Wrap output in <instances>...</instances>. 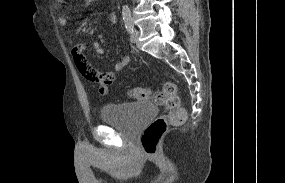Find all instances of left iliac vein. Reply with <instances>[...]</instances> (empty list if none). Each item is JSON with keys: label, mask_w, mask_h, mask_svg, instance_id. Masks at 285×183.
<instances>
[{"label": "left iliac vein", "mask_w": 285, "mask_h": 183, "mask_svg": "<svg viewBox=\"0 0 285 183\" xmlns=\"http://www.w3.org/2000/svg\"><path fill=\"white\" fill-rule=\"evenodd\" d=\"M138 38H139V31L133 30V32L131 33V36H130L131 42L136 43L138 41Z\"/></svg>", "instance_id": "left-iliac-vein-1"}]
</instances>
